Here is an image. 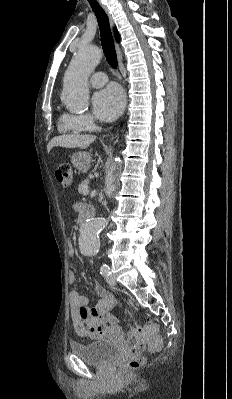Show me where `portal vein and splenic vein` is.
Segmentation results:
<instances>
[{"label":"portal vein and splenic vein","instance_id":"1","mask_svg":"<svg viewBox=\"0 0 232 399\" xmlns=\"http://www.w3.org/2000/svg\"><path fill=\"white\" fill-rule=\"evenodd\" d=\"M89 194V190H85V192H83V196H88Z\"/></svg>","mask_w":232,"mask_h":399}]
</instances>
